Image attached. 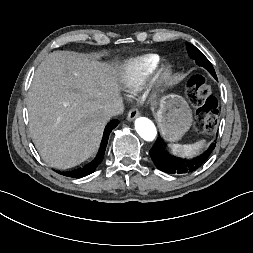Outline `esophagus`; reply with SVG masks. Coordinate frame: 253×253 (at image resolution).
Segmentation results:
<instances>
[{
	"mask_svg": "<svg viewBox=\"0 0 253 253\" xmlns=\"http://www.w3.org/2000/svg\"><path fill=\"white\" fill-rule=\"evenodd\" d=\"M139 115V111L137 108L133 107L129 110L127 114V120L133 121Z\"/></svg>",
	"mask_w": 253,
	"mask_h": 253,
	"instance_id": "esophagus-1",
	"label": "esophagus"
}]
</instances>
